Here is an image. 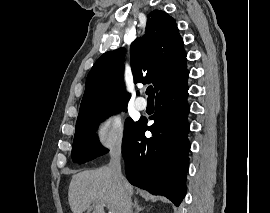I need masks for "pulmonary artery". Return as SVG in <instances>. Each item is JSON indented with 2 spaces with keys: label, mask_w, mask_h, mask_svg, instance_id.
I'll return each instance as SVG.
<instances>
[{
  "label": "pulmonary artery",
  "mask_w": 270,
  "mask_h": 213,
  "mask_svg": "<svg viewBox=\"0 0 270 213\" xmlns=\"http://www.w3.org/2000/svg\"><path fill=\"white\" fill-rule=\"evenodd\" d=\"M135 106L138 110H144L147 106V102L143 97H138L135 100Z\"/></svg>",
  "instance_id": "pulmonary-artery-1"
}]
</instances>
